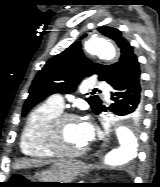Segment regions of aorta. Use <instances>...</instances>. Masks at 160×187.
I'll return each instance as SVG.
<instances>
[{
    "instance_id": "1",
    "label": "aorta",
    "mask_w": 160,
    "mask_h": 187,
    "mask_svg": "<svg viewBox=\"0 0 160 187\" xmlns=\"http://www.w3.org/2000/svg\"><path fill=\"white\" fill-rule=\"evenodd\" d=\"M85 49L89 54L96 55L103 60H111L115 57V47L107 38L94 35L85 44ZM118 146L111 149L104 158L107 166H118L124 164L135 157L138 139L136 134L126 126H119L116 129Z\"/></svg>"
}]
</instances>
